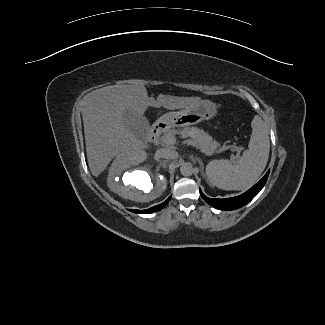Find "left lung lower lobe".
Listing matches in <instances>:
<instances>
[{"label":"left lung lower lobe","mask_w":325,"mask_h":325,"mask_svg":"<svg viewBox=\"0 0 325 325\" xmlns=\"http://www.w3.org/2000/svg\"><path fill=\"white\" fill-rule=\"evenodd\" d=\"M268 175H269V171L252 188H250L245 193L236 197L226 198V199H212L206 197L202 193L201 189H200V195L208 204H210L211 206L219 210L230 211V210L238 209L244 206L245 204H247L248 202H250L260 192V190L263 188V186L267 181Z\"/></svg>","instance_id":"0a47b994"}]
</instances>
